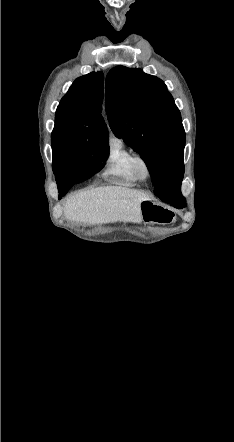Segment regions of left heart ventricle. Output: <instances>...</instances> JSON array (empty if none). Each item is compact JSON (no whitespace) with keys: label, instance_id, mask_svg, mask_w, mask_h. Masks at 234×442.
Returning <instances> with one entry per match:
<instances>
[{"label":"left heart ventricle","instance_id":"b2bd125f","mask_svg":"<svg viewBox=\"0 0 234 442\" xmlns=\"http://www.w3.org/2000/svg\"><path fill=\"white\" fill-rule=\"evenodd\" d=\"M141 170L144 171L143 167H141Z\"/></svg>","mask_w":234,"mask_h":442}]
</instances>
